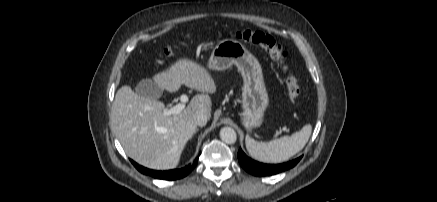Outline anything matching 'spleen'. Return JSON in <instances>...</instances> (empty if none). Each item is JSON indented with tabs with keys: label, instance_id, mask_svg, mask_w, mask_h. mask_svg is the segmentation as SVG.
Returning <instances> with one entry per match:
<instances>
[{
	"label": "spleen",
	"instance_id": "spleen-1",
	"mask_svg": "<svg viewBox=\"0 0 437 202\" xmlns=\"http://www.w3.org/2000/svg\"><path fill=\"white\" fill-rule=\"evenodd\" d=\"M312 126L307 124L291 136H283L270 142H257L248 135L245 144L248 153L254 159L266 163H280L287 161L300 152L308 142Z\"/></svg>",
	"mask_w": 437,
	"mask_h": 202
}]
</instances>
